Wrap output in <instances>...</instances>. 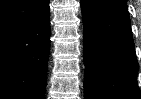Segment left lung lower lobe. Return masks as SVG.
<instances>
[{
	"label": "left lung lower lobe",
	"mask_w": 141,
	"mask_h": 99,
	"mask_svg": "<svg viewBox=\"0 0 141 99\" xmlns=\"http://www.w3.org/2000/svg\"><path fill=\"white\" fill-rule=\"evenodd\" d=\"M85 99H141L125 0H81Z\"/></svg>",
	"instance_id": "left-lung-lower-lobe-1"
}]
</instances>
